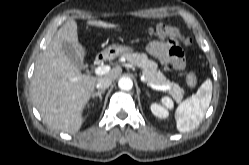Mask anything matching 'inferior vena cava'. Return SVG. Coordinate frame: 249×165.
Segmentation results:
<instances>
[{"label":"inferior vena cava","instance_id":"obj_1","mask_svg":"<svg viewBox=\"0 0 249 165\" xmlns=\"http://www.w3.org/2000/svg\"><path fill=\"white\" fill-rule=\"evenodd\" d=\"M112 83V79L104 77V78H100L99 81L96 84L97 89L100 90H105L107 89Z\"/></svg>","mask_w":249,"mask_h":165}]
</instances>
